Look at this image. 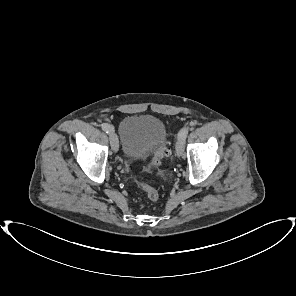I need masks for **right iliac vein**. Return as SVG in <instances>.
<instances>
[{
	"label": "right iliac vein",
	"instance_id": "1",
	"mask_svg": "<svg viewBox=\"0 0 296 296\" xmlns=\"http://www.w3.org/2000/svg\"><path fill=\"white\" fill-rule=\"evenodd\" d=\"M109 139H110V143L113 151L117 152L119 148V142H118L117 135L113 131L109 133Z\"/></svg>",
	"mask_w": 296,
	"mask_h": 296
}]
</instances>
